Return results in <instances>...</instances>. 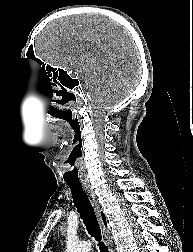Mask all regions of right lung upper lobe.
<instances>
[{
    "mask_svg": "<svg viewBox=\"0 0 193 252\" xmlns=\"http://www.w3.org/2000/svg\"><path fill=\"white\" fill-rule=\"evenodd\" d=\"M102 217H103L104 224L106 225V219H105V216H104V215H102Z\"/></svg>",
    "mask_w": 193,
    "mask_h": 252,
    "instance_id": "right-lung-upper-lobe-1",
    "label": "right lung upper lobe"
}]
</instances>
